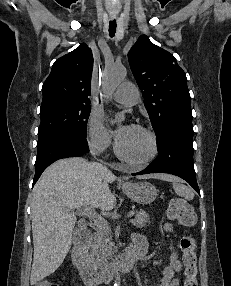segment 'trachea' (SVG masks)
<instances>
[{
	"label": "trachea",
	"instance_id": "1",
	"mask_svg": "<svg viewBox=\"0 0 231 286\" xmlns=\"http://www.w3.org/2000/svg\"><path fill=\"white\" fill-rule=\"evenodd\" d=\"M116 20H112L109 22V35L110 37H114L115 33H116Z\"/></svg>",
	"mask_w": 231,
	"mask_h": 286
}]
</instances>
